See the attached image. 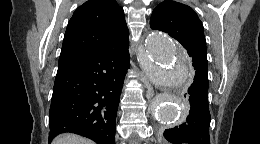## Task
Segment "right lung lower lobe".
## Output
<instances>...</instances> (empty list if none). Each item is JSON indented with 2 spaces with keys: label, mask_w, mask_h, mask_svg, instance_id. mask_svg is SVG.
<instances>
[{
  "label": "right lung lower lobe",
  "mask_w": 260,
  "mask_h": 144,
  "mask_svg": "<svg viewBox=\"0 0 260 144\" xmlns=\"http://www.w3.org/2000/svg\"><path fill=\"white\" fill-rule=\"evenodd\" d=\"M129 43L59 62L49 111V142L72 132L114 144Z\"/></svg>",
  "instance_id": "1"
}]
</instances>
